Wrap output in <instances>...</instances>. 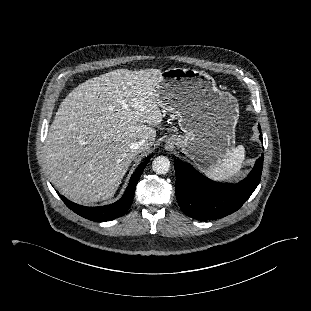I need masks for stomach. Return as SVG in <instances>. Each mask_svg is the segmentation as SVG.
<instances>
[{"label":"stomach","instance_id":"1","mask_svg":"<svg viewBox=\"0 0 311 311\" xmlns=\"http://www.w3.org/2000/svg\"><path fill=\"white\" fill-rule=\"evenodd\" d=\"M158 105L178 116L183 135L167 143L178 147L201 170L218 165L235 146L239 105L231 94L220 91L203 71L170 68L156 80Z\"/></svg>","mask_w":311,"mask_h":311}]
</instances>
